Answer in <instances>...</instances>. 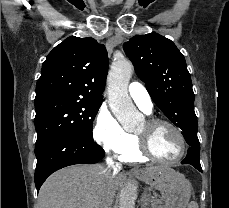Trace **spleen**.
Listing matches in <instances>:
<instances>
[{"mask_svg": "<svg viewBox=\"0 0 229 208\" xmlns=\"http://www.w3.org/2000/svg\"><path fill=\"white\" fill-rule=\"evenodd\" d=\"M189 208H198V204H196V202H191Z\"/></svg>", "mask_w": 229, "mask_h": 208, "instance_id": "3e777b00", "label": "spleen"}]
</instances>
